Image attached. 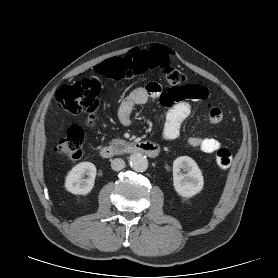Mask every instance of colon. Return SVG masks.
I'll return each instance as SVG.
<instances>
[{
	"mask_svg": "<svg viewBox=\"0 0 278 278\" xmlns=\"http://www.w3.org/2000/svg\"><path fill=\"white\" fill-rule=\"evenodd\" d=\"M155 69L162 72L175 100L205 98L203 86L185 84L186 78L183 72L169 65L165 51L160 48L155 47L148 51H137L124 57L111 58L95 68L100 76L114 81H131ZM100 91L101 84L97 79H82L62 86L57 92V103L71 117L86 113L87 121L93 124L100 107ZM83 138L84 133L79 126L71 127L66 139L58 144L57 153L66 160H78L82 156ZM215 161L220 168H228L232 162L231 152L225 147H218L215 151Z\"/></svg>",
	"mask_w": 278,
	"mask_h": 278,
	"instance_id": "1",
	"label": "colon"
}]
</instances>
